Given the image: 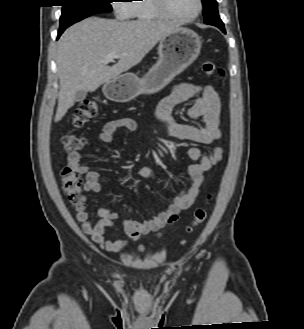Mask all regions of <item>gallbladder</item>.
Returning a JSON list of instances; mask_svg holds the SVG:
<instances>
[{"mask_svg": "<svg viewBox=\"0 0 304 329\" xmlns=\"http://www.w3.org/2000/svg\"><path fill=\"white\" fill-rule=\"evenodd\" d=\"M87 92L85 90H78L75 94V102H81L85 99Z\"/></svg>", "mask_w": 304, "mask_h": 329, "instance_id": "1", "label": "gallbladder"}]
</instances>
